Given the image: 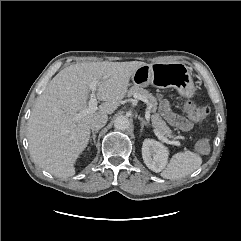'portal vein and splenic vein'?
<instances>
[{"label":"portal vein and splenic vein","instance_id":"obj_1","mask_svg":"<svg viewBox=\"0 0 241 241\" xmlns=\"http://www.w3.org/2000/svg\"><path fill=\"white\" fill-rule=\"evenodd\" d=\"M97 87H98V81H92L91 83H89V88L91 90V93H90V99H89V102H88V108L86 110L82 111L81 113L77 114V118H80L81 116H83V115H85L87 113H92V112L97 110V108H98L97 107L98 102H97V99H96ZM135 98H138V99H140L143 102L148 104V100L145 97L141 96V95H136ZM145 118H146L147 121H149V119H150V107H148L146 112H145ZM154 133L163 142H165L167 144H171V145L180 146V142L179 141L168 140L166 137L161 135L156 130H154Z\"/></svg>","mask_w":241,"mask_h":241}]
</instances>
